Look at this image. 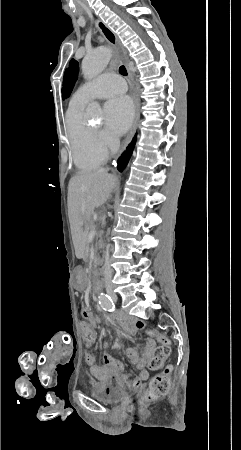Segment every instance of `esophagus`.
<instances>
[{"label": "esophagus", "mask_w": 241, "mask_h": 450, "mask_svg": "<svg viewBox=\"0 0 241 450\" xmlns=\"http://www.w3.org/2000/svg\"><path fill=\"white\" fill-rule=\"evenodd\" d=\"M95 26L99 30V32L101 33L103 38L106 40L108 45H110L113 48L114 57H117L119 60H121L126 65V67H128V58H126V56L124 54V50L120 46V42L118 40L117 35L101 20L95 21ZM128 72H129L132 87H133L132 97H133V101H134L135 119H134V122L130 128V131L124 141V144L122 145V147L120 149V154L125 150L127 145L130 143L132 137L136 133L138 122L140 119V98H139V94H138V87L133 82L132 71L128 69Z\"/></svg>", "instance_id": "esophagus-1"}]
</instances>
